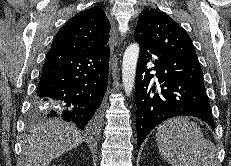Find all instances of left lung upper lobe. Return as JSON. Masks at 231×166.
I'll return each instance as SVG.
<instances>
[{
	"mask_svg": "<svg viewBox=\"0 0 231 166\" xmlns=\"http://www.w3.org/2000/svg\"><path fill=\"white\" fill-rule=\"evenodd\" d=\"M134 35L160 51L197 59L189 35L167 14L159 10H144L138 18Z\"/></svg>",
	"mask_w": 231,
	"mask_h": 166,
	"instance_id": "left-lung-upper-lobe-1",
	"label": "left lung upper lobe"
}]
</instances>
